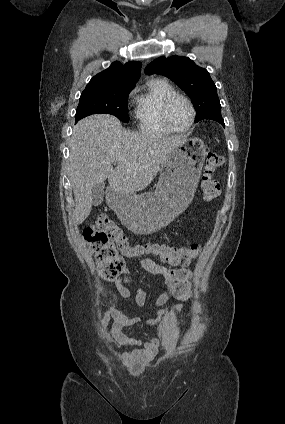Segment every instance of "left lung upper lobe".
I'll return each mask as SVG.
<instances>
[{"mask_svg": "<svg viewBox=\"0 0 285 424\" xmlns=\"http://www.w3.org/2000/svg\"><path fill=\"white\" fill-rule=\"evenodd\" d=\"M146 74H161L177 84L192 100L196 122L221 113L217 89L209 72L187 57H159L145 68Z\"/></svg>", "mask_w": 285, "mask_h": 424, "instance_id": "left-lung-upper-lobe-1", "label": "left lung upper lobe"}]
</instances>
